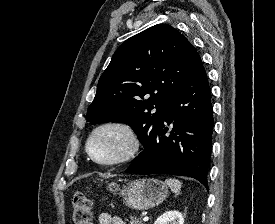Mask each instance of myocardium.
<instances>
[{
    "label": "myocardium",
    "mask_w": 275,
    "mask_h": 224,
    "mask_svg": "<svg viewBox=\"0 0 275 224\" xmlns=\"http://www.w3.org/2000/svg\"><path fill=\"white\" fill-rule=\"evenodd\" d=\"M107 129H116L122 132L127 140V148L120 157L116 159L108 160V161H103V160H99L92 154L90 150V144L92 139L98 133ZM139 146H140L139 140L134 129L129 124L119 120H109V121L100 123L99 125H97L91 130L85 142V150L87 155L90 157V159L97 165L106 166V167L122 165L129 162L137 154L139 150Z\"/></svg>",
    "instance_id": "obj_1"
}]
</instances>
